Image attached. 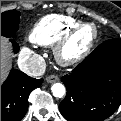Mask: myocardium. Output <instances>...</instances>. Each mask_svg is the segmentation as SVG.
I'll return each instance as SVG.
<instances>
[{"label":"myocardium","mask_w":121,"mask_h":121,"mask_svg":"<svg viewBox=\"0 0 121 121\" xmlns=\"http://www.w3.org/2000/svg\"><path fill=\"white\" fill-rule=\"evenodd\" d=\"M90 28L93 31V37L89 43L79 52L68 54L67 47L73 37L82 29ZM98 39V29L92 23H78L69 29L56 43L53 49L56 60L63 66H71L82 61L92 50Z\"/></svg>","instance_id":"f54148a6"}]
</instances>
